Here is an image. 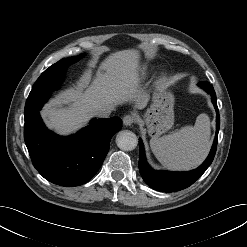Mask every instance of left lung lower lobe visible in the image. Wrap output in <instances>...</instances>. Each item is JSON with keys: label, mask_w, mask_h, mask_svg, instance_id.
Returning <instances> with one entry per match:
<instances>
[{"label": "left lung lower lobe", "mask_w": 247, "mask_h": 247, "mask_svg": "<svg viewBox=\"0 0 247 247\" xmlns=\"http://www.w3.org/2000/svg\"><path fill=\"white\" fill-rule=\"evenodd\" d=\"M198 85L207 91L216 109V135L210 154L201 166L190 172L155 171L147 164L142 140L139 141V170L143 180L153 189L161 192H175L189 187L193 184L212 163L217 147L218 132L220 126L219 111L217 107L216 94L209 82H199Z\"/></svg>", "instance_id": "left-lung-lower-lobe-1"}]
</instances>
